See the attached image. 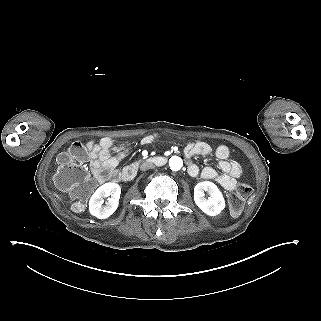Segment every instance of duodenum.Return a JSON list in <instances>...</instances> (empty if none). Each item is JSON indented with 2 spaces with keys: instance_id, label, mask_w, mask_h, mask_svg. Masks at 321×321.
Segmentation results:
<instances>
[{
  "instance_id": "obj_1",
  "label": "duodenum",
  "mask_w": 321,
  "mask_h": 321,
  "mask_svg": "<svg viewBox=\"0 0 321 321\" xmlns=\"http://www.w3.org/2000/svg\"><path fill=\"white\" fill-rule=\"evenodd\" d=\"M167 159L166 157L163 156H155V157H150L148 159L145 160V162L150 163V164H154L157 166H162L166 163ZM138 163H134L131 164L127 167H125L122 172H121V179L125 182H129L132 179H134V177L137 174V170H138Z\"/></svg>"
}]
</instances>
